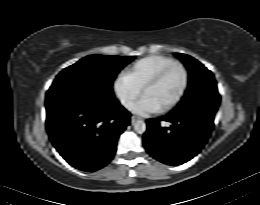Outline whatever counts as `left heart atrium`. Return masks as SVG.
<instances>
[{
  "instance_id": "obj_1",
  "label": "left heart atrium",
  "mask_w": 260,
  "mask_h": 205,
  "mask_svg": "<svg viewBox=\"0 0 260 205\" xmlns=\"http://www.w3.org/2000/svg\"><path fill=\"white\" fill-rule=\"evenodd\" d=\"M159 106L149 97H144L137 102L132 108L133 111L138 113H152L159 110Z\"/></svg>"
}]
</instances>
